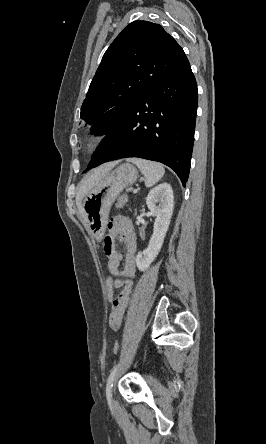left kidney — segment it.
I'll return each instance as SVG.
<instances>
[{
  "instance_id": "5707ae66",
  "label": "left kidney",
  "mask_w": 266,
  "mask_h": 444,
  "mask_svg": "<svg viewBox=\"0 0 266 444\" xmlns=\"http://www.w3.org/2000/svg\"><path fill=\"white\" fill-rule=\"evenodd\" d=\"M146 204L156 220L148 247L136 256V265L140 271L148 269L162 248L173 213L174 196L171 185L165 182L153 188L146 198Z\"/></svg>"
}]
</instances>
